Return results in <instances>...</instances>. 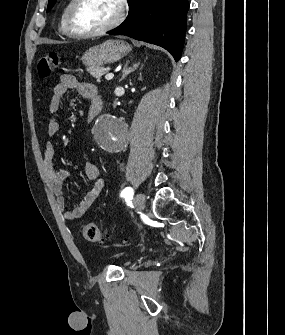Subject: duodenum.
<instances>
[{
  "instance_id": "410a0bca",
  "label": "duodenum",
  "mask_w": 285,
  "mask_h": 335,
  "mask_svg": "<svg viewBox=\"0 0 285 335\" xmlns=\"http://www.w3.org/2000/svg\"><path fill=\"white\" fill-rule=\"evenodd\" d=\"M101 100L94 101L88 108L87 121L93 120L101 109Z\"/></svg>"
}]
</instances>
